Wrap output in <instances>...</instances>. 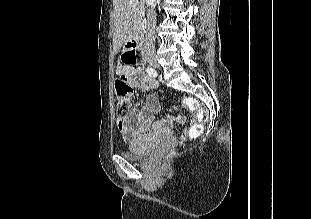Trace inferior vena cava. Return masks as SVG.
<instances>
[{"label":"inferior vena cava","instance_id":"1","mask_svg":"<svg viewBox=\"0 0 311 219\" xmlns=\"http://www.w3.org/2000/svg\"><path fill=\"white\" fill-rule=\"evenodd\" d=\"M147 5V31L144 39L143 52H150L154 50L155 42V25L156 14L154 12L155 0H144Z\"/></svg>","mask_w":311,"mask_h":219}]
</instances>
